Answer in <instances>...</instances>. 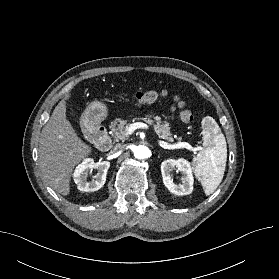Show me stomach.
<instances>
[{
	"instance_id": "obj_1",
	"label": "stomach",
	"mask_w": 279,
	"mask_h": 279,
	"mask_svg": "<svg viewBox=\"0 0 279 279\" xmlns=\"http://www.w3.org/2000/svg\"><path fill=\"white\" fill-rule=\"evenodd\" d=\"M107 113L108 109L104 103L94 101L86 108L82 121L86 127H95L107 117Z\"/></svg>"
}]
</instances>
